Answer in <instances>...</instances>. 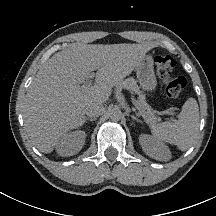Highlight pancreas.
<instances>
[{
	"label": "pancreas",
	"instance_id": "obj_1",
	"mask_svg": "<svg viewBox=\"0 0 216 216\" xmlns=\"http://www.w3.org/2000/svg\"><path fill=\"white\" fill-rule=\"evenodd\" d=\"M117 86L121 88H126L131 93H136L139 95L136 105L147 123L154 125L157 121H159V118L156 117L155 112L150 109L145 102V97L141 94L134 78L130 77L122 80L117 84Z\"/></svg>",
	"mask_w": 216,
	"mask_h": 216
}]
</instances>
